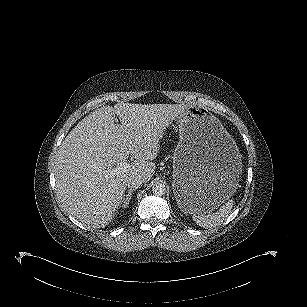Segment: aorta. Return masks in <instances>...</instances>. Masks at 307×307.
<instances>
[{
    "instance_id": "762f6f07",
    "label": "aorta",
    "mask_w": 307,
    "mask_h": 307,
    "mask_svg": "<svg viewBox=\"0 0 307 307\" xmlns=\"http://www.w3.org/2000/svg\"><path fill=\"white\" fill-rule=\"evenodd\" d=\"M152 192L156 196H162L166 193V186L162 182H155L152 186Z\"/></svg>"
}]
</instances>
